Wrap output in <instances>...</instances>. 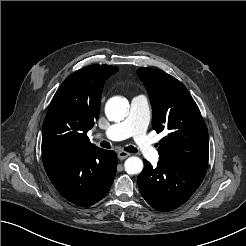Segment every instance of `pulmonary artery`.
I'll return each mask as SVG.
<instances>
[{
  "label": "pulmonary artery",
  "instance_id": "1",
  "mask_svg": "<svg viewBox=\"0 0 246 246\" xmlns=\"http://www.w3.org/2000/svg\"><path fill=\"white\" fill-rule=\"evenodd\" d=\"M150 119L151 110L147 97L137 95L131 100L127 117L121 122L111 125L101 136L113 141L133 137L143 156L156 162L159 158L158 152L146 133Z\"/></svg>",
  "mask_w": 246,
  "mask_h": 246
}]
</instances>
